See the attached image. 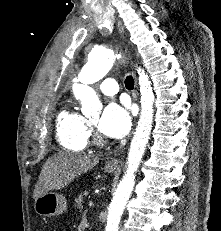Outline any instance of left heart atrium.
I'll use <instances>...</instances> for the list:
<instances>
[{
    "instance_id": "1",
    "label": "left heart atrium",
    "mask_w": 221,
    "mask_h": 231,
    "mask_svg": "<svg viewBox=\"0 0 221 231\" xmlns=\"http://www.w3.org/2000/svg\"><path fill=\"white\" fill-rule=\"evenodd\" d=\"M131 126L128 107L112 102L106 106L98 122L99 130L110 138H120L126 135Z\"/></svg>"
}]
</instances>
